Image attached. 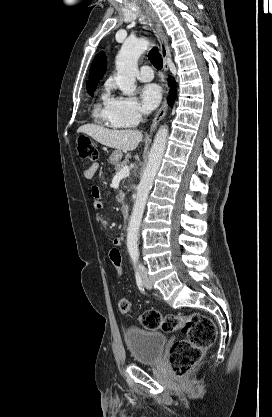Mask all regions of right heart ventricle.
I'll list each match as a JSON object with an SVG mask.
<instances>
[{"label": "right heart ventricle", "instance_id": "1", "mask_svg": "<svg viewBox=\"0 0 272 417\" xmlns=\"http://www.w3.org/2000/svg\"><path fill=\"white\" fill-rule=\"evenodd\" d=\"M102 104L98 105L94 110V117L99 122L102 123L108 127L111 128H124L126 127L119 121H117L114 116L112 115L110 108H109V102L110 97L108 93L102 94Z\"/></svg>", "mask_w": 272, "mask_h": 417}]
</instances>
